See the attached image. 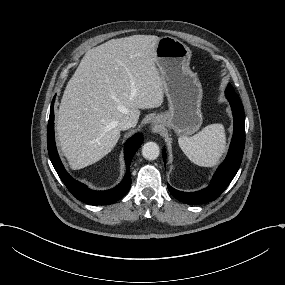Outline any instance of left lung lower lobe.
<instances>
[{
    "instance_id": "0a47b994",
    "label": "left lung lower lobe",
    "mask_w": 285,
    "mask_h": 285,
    "mask_svg": "<svg viewBox=\"0 0 285 285\" xmlns=\"http://www.w3.org/2000/svg\"><path fill=\"white\" fill-rule=\"evenodd\" d=\"M226 97L230 102L234 117V133L225 161L214 174L211 184L200 191L182 192L167 185L170 193L178 200L197 205L216 200L230 184L236 175L242 161L245 146V114L239 96L235 93L231 84H228ZM164 164H166V152L162 151Z\"/></svg>"
}]
</instances>
